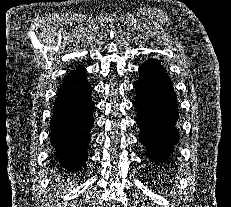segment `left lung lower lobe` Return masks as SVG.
Segmentation results:
<instances>
[{
    "label": "left lung lower lobe",
    "mask_w": 231,
    "mask_h": 207,
    "mask_svg": "<svg viewBox=\"0 0 231 207\" xmlns=\"http://www.w3.org/2000/svg\"><path fill=\"white\" fill-rule=\"evenodd\" d=\"M139 71L140 78L134 85L139 140L146 147L150 162L159 166L168 161L179 140L177 97L172 81L158 60L148 59Z\"/></svg>",
    "instance_id": "0a47b994"
}]
</instances>
